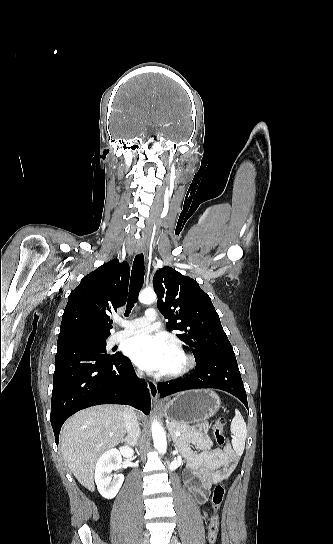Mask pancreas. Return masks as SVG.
I'll use <instances>...</instances> for the list:
<instances>
[{
    "instance_id": "pancreas-1",
    "label": "pancreas",
    "mask_w": 333,
    "mask_h": 544,
    "mask_svg": "<svg viewBox=\"0 0 333 544\" xmlns=\"http://www.w3.org/2000/svg\"><path fill=\"white\" fill-rule=\"evenodd\" d=\"M167 428L169 430V432L171 434H174L175 432H180L182 434H193L195 433L197 430L190 427V426H187L185 424H182V423H179V422H176V421H171L169 423H167ZM175 438H177L175 436Z\"/></svg>"
}]
</instances>
